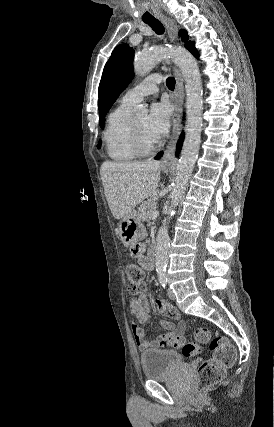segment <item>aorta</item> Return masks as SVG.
Returning <instances> with one entry per match:
<instances>
[{"mask_svg":"<svg viewBox=\"0 0 274 427\" xmlns=\"http://www.w3.org/2000/svg\"><path fill=\"white\" fill-rule=\"evenodd\" d=\"M166 57H171L179 67L185 81L186 89V126L185 139L181 157L176 167V178L170 193L171 206L169 214L174 215L175 206L183 195L189 177L194 169L199 152V143L202 130L203 89L198 65L193 56L182 47H156L152 50L138 53L134 60V72L144 76L150 72L158 62ZM137 116L147 114V109H135ZM155 249L156 271L161 281L166 280V267L169 260V235L165 223L157 234Z\"/></svg>","mask_w":274,"mask_h":427,"instance_id":"762f6f07","label":"aorta"}]
</instances>
